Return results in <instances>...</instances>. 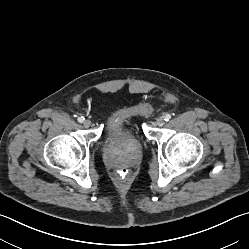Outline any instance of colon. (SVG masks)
Here are the masks:
<instances>
[{
  "label": "colon",
  "mask_w": 249,
  "mask_h": 249,
  "mask_svg": "<svg viewBox=\"0 0 249 249\" xmlns=\"http://www.w3.org/2000/svg\"><path fill=\"white\" fill-rule=\"evenodd\" d=\"M129 174H130L129 170L125 167L119 168L117 170V175L121 179H127L129 177Z\"/></svg>",
  "instance_id": "5ec220e1"
}]
</instances>
